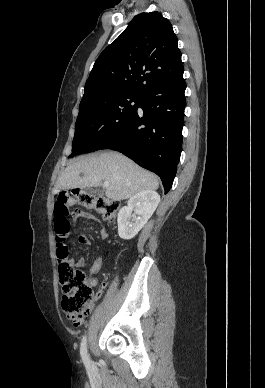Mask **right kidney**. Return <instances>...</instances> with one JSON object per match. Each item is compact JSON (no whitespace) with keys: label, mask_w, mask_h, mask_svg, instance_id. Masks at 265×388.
Wrapping results in <instances>:
<instances>
[{"label":"right kidney","mask_w":265,"mask_h":388,"mask_svg":"<svg viewBox=\"0 0 265 388\" xmlns=\"http://www.w3.org/2000/svg\"><path fill=\"white\" fill-rule=\"evenodd\" d=\"M159 202L160 196L153 190H142L132 196L128 200V206L119 210L117 222L120 238L132 240L154 214Z\"/></svg>","instance_id":"obj_1"}]
</instances>
